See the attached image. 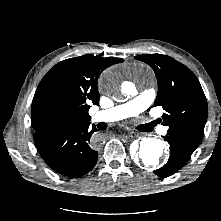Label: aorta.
<instances>
[{
  "label": "aorta",
  "mask_w": 221,
  "mask_h": 221,
  "mask_svg": "<svg viewBox=\"0 0 221 221\" xmlns=\"http://www.w3.org/2000/svg\"><path fill=\"white\" fill-rule=\"evenodd\" d=\"M120 71L114 70L105 73L101 80V87L105 92L114 93L117 87ZM123 94L130 96L135 94V87L130 85L123 89ZM136 162L142 166L152 168L156 167L164 161L165 144L155 138H144L140 141L137 149L133 152Z\"/></svg>",
  "instance_id": "762f6f07"
}]
</instances>
